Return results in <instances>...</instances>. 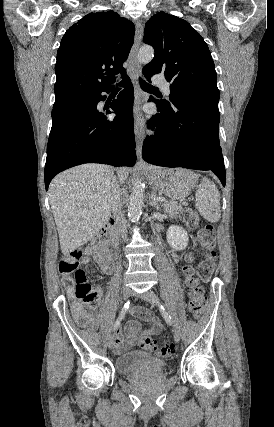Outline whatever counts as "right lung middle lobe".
<instances>
[{
    "label": "right lung middle lobe",
    "instance_id": "obj_1",
    "mask_svg": "<svg viewBox=\"0 0 274 427\" xmlns=\"http://www.w3.org/2000/svg\"><path fill=\"white\" fill-rule=\"evenodd\" d=\"M86 97H88V96H80V97H76V98H73V99H71V100L67 101V102H66V103H64V104H69V103H72V102H74V101H76V100L83 99V98H86Z\"/></svg>",
    "mask_w": 274,
    "mask_h": 427
}]
</instances>
